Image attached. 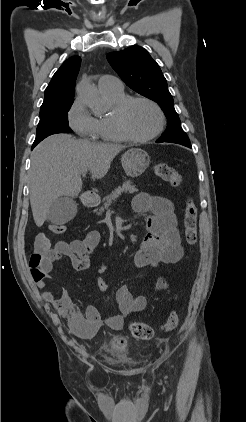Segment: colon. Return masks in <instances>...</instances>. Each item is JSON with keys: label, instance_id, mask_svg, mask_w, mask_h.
<instances>
[{"label": "colon", "instance_id": "5ec220e1", "mask_svg": "<svg viewBox=\"0 0 246 422\" xmlns=\"http://www.w3.org/2000/svg\"><path fill=\"white\" fill-rule=\"evenodd\" d=\"M154 173L162 180L170 183L172 186L178 187L182 178L180 174L170 165L158 163L154 166ZM198 209L195 203L188 200L185 206L183 217L184 238L188 245H195L198 238L197 229ZM49 230L54 235H62L66 231V227L60 224H52ZM51 250L50 241L44 233L36 236L34 250L30 255L28 266L34 280L43 279L48 269V253ZM180 314L173 310L170 312L167 320L163 324V330L166 332L173 331L179 324ZM132 335L139 340H149L153 337V329L142 322H134L130 326ZM123 343V341H120Z\"/></svg>", "mask_w": 246, "mask_h": 422}]
</instances>
